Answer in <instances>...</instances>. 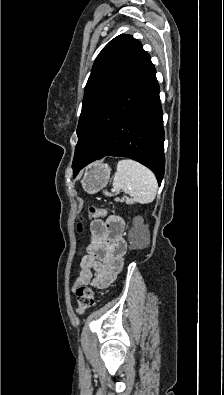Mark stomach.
<instances>
[{
    "instance_id": "1",
    "label": "stomach",
    "mask_w": 224,
    "mask_h": 395,
    "mask_svg": "<svg viewBox=\"0 0 224 395\" xmlns=\"http://www.w3.org/2000/svg\"><path fill=\"white\" fill-rule=\"evenodd\" d=\"M111 168L107 164L93 163L86 168L81 180L83 189L89 194H95L105 187L110 179Z\"/></svg>"
}]
</instances>
